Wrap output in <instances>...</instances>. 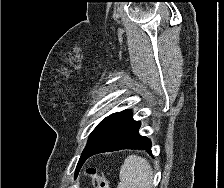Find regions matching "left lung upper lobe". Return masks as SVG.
<instances>
[{"instance_id":"obj_1","label":"left lung upper lobe","mask_w":224,"mask_h":188,"mask_svg":"<svg viewBox=\"0 0 224 188\" xmlns=\"http://www.w3.org/2000/svg\"><path fill=\"white\" fill-rule=\"evenodd\" d=\"M125 111H122L119 113H114V114L106 117L103 121H101L96 126V128L93 130V132L89 136L87 145H86L85 149L83 150L81 157L84 154H86L87 152H89L95 148V146L100 142V140L103 138V136L113 127L115 122ZM81 166H78L77 168H80Z\"/></svg>"}]
</instances>
